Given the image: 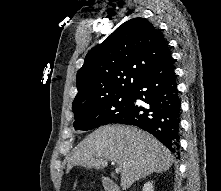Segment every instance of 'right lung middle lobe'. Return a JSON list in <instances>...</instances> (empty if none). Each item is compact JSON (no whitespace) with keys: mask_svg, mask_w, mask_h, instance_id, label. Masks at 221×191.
I'll return each mask as SVG.
<instances>
[{"mask_svg":"<svg viewBox=\"0 0 221 191\" xmlns=\"http://www.w3.org/2000/svg\"><path fill=\"white\" fill-rule=\"evenodd\" d=\"M132 99L133 91H128L75 112L73 126L76 130L87 131L100 125L117 123L129 111Z\"/></svg>","mask_w":221,"mask_h":191,"instance_id":"dd1d6c3e","label":"right lung middle lobe"}]
</instances>
